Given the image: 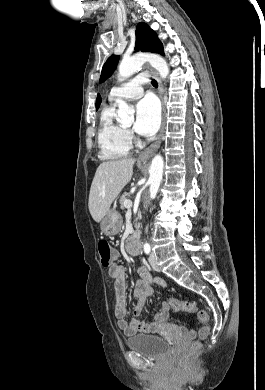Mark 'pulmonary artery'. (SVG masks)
Returning <instances> with one entry per match:
<instances>
[{
  "instance_id": "e3ab8cb5",
  "label": "pulmonary artery",
  "mask_w": 265,
  "mask_h": 390,
  "mask_svg": "<svg viewBox=\"0 0 265 390\" xmlns=\"http://www.w3.org/2000/svg\"><path fill=\"white\" fill-rule=\"evenodd\" d=\"M148 83L146 74L137 75L122 85L113 87L109 94V100L115 102L121 99H137L143 95V84Z\"/></svg>"
}]
</instances>
